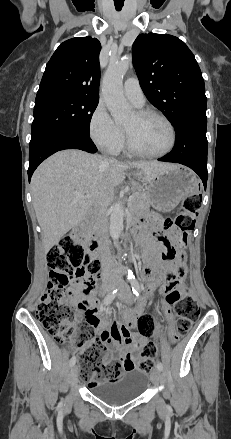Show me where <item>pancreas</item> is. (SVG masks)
I'll list each match as a JSON object with an SVG mask.
<instances>
[{"label": "pancreas", "mask_w": 231, "mask_h": 439, "mask_svg": "<svg viewBox=\"0 0 231 439\" xmlns=\"http://www.w3.org/2000/svg\"><path fill=\"white\" fill-rule=\"evenodd\" d=\"M150 204L149 195L146 191L138 190L134 192V198L130 203L132 213H137L140 209Z\"/></svg>", "instance_id": "obj_1"}]
</instances>
